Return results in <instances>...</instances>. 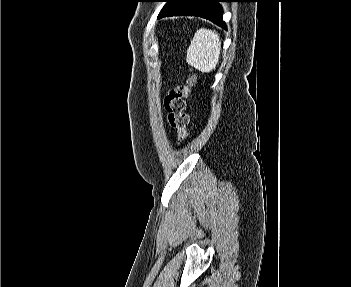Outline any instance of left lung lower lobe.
<instances>
[{
    "instance_id": "1",
    "label": "left lung lower lobe",
    "mask_w": 351,
    "mask_h": 287,
    "mask_svg": "<svg viewBox=\"0 0 351 287\" xmlns=\"http://www.w3.org/2000/svg\"><path fill=\"white\" fill-rule=\"evenodd\" d=\"M226 0H172L158 15L166 16H199L212 21L226 29L222 20L223 11L218 2Z\"/></svg>"
}]
</instances>
